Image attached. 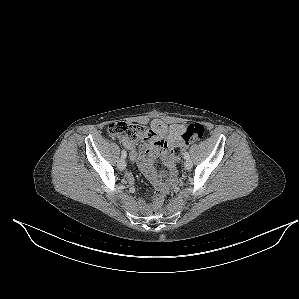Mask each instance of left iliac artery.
<instances>
[{
    "instance_id": "left-iliac-artery-1",
    "label": "left iliac artery",
    "mask_w": 299,
    "mask_h": 299,
    "mask_svg": "<svg viewBox=\"0 0 299 299\" xmlns=\"http://www.w3.org/2000/svg\"><path fill=\"white\" fill-rule=\"evenodd\" d=\"M184 158H185L186 160L190 158V156H189V153H188V152H185V153H184Z\"/></svg>"
}]
</instances>
